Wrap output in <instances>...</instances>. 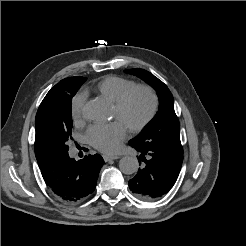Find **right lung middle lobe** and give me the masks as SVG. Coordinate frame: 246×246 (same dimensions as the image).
Segmentation results:
<instances>
[{"label": "right lung middle lobe", "mask_w": 246, "mask_h": 246, "mask_svg": "<svg viewBox=\"0 0 246 246\" xmlns=\"http://www.w3.org/2000/svg\"><path fill=\"white\" fill-rule=\"evenodd\" d=\"M85 81L80 79L61 86L45 103V137L52 157L68 154L67 142L72 138L73 126L71 101Z\"/></svg>", "instance_id": "dd1d6c3e"}]
</instances>
